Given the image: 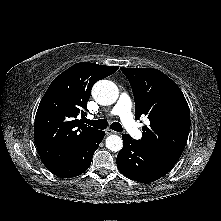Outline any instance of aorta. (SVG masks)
<instances>
[{
    "instance_id": "aorta-1",
    "label": "aorta",
    "mask_w": 221,
    "mask_h": 221,
    "mask_svg": "<svg viewBox=\"0 0 221 221\" xmlns=\"http://www.w3.org/2000/svg\"><path fill=\"white\" fill-rule=\"evenodd\" d=\"M119 95L117 86L109 80H100L92 88V96L100 105H111L116 102ZM106 147L118 152L123 147V141L118 135H110L106 138Z\"/></svg>"
}]
</instances>
